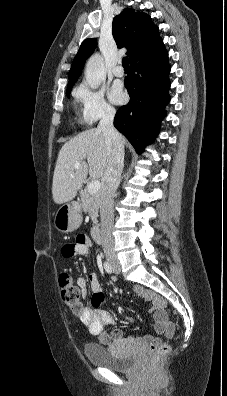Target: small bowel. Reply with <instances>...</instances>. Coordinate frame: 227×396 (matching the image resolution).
Masks as SVG:
<instances>
[{
  "label": "small bowel",
  "instance_id": "small-bowel-1",
  "mask_svg": "<svg viewBox=\"0 0 227 396\" xmlns=\"http://www.w3.org/2000/svg\"><path fill=\"white\" fill-rule=\"evenodd\" d=\"M91 242L85 235L77 236L75 242L64 245L62 252L65 257H71L76 254H88L90 252ZM91 290L93 292L92 302L94 306L98 307L104 301V293L101 283L97 275L91 273L88 277ZM76 285L81 297L87 295V281L84 278L77 279ZM134 293L139 297L152 304V311L154 313L155 328L158 334L165 337L173 335V324L168 320L164 312L166 301L161 296L152 291L146 290L139 285L133 287ZM80 320L87 327L90 334L97 336L98 341L106 346H116L122 344H132L135 342H146L147 339H135L132 336L124 337L123 332L119 328H115L110 332L106 328L114 323L112 314L104 309H91L84 307L83 313L80 315ZM160 342L159 337H155L150 341V346L154 348Z\"/></svg>",
  "mask_w": 227,
  "mask_h": 396
}]
</instances>
